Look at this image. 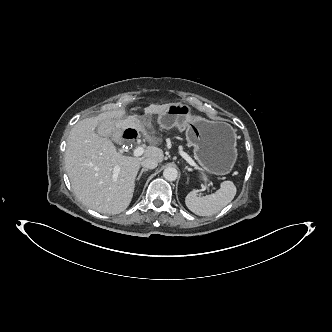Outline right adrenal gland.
Listing matches in <instances>:
<instances>
[{
    "label": "right adrenal gland",
    "mask_w": 332,
    "mask_h": 332,
    "mask_svg": "<svg viewBox=\"0 0 332 332\" xmlns=\"http://www.w3.org/2000/svg\"><path fill=\"white\" fill-rule=\"evenodd\" d=\"M148 171V169H142L137 177V180H139L144 172Z\"/></svg>",
    "instance_id": "2a0ac1e0"
}]
</instances>
